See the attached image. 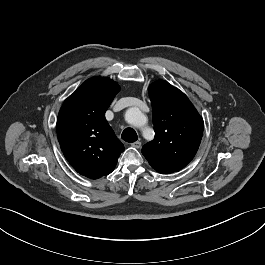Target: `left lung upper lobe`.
Returning <instances> with one entry per match:
<instances>
[{
    "label": "left lung upper lobe",
    "mask_w": 265,
    "mask_h": 265,
    "mask_svg": "<svg viewBox=\"0 0 265 265\" xmlns=\"http://www.w3.org/2000/svg\"><path fill=\"white\" fill-rule=\"evenodd\" d=\"M155 138L145 144L142 154L161 174L177 172L195 156L204 123L188 97L166 81L149 88Z\"/></svg>",
    "instance_id": "1"
}]
</instances>
